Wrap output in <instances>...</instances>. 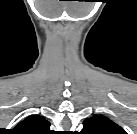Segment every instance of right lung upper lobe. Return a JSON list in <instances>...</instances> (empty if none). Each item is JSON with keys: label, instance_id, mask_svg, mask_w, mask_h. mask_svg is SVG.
<instances>
[{"label": "right lung upper lobe", "instance_id": "obj_1", "mask_svg": "<svg viewBox=\"0 0 137 134\" xmlns=\"http://www.w3.org/2000/svg\"><path fill=\"white\" fill-rule=\"evenodd\" d=\"M50 123L40 115H32L21 121L13 130L18 134H51Z\"/></svg>", "mask_w": 137, "mask_h": 134}]
</instances>
